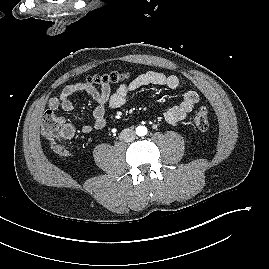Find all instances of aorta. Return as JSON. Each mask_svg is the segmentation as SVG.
I'll return each instance as SVG.
<instances>
[{
    "mask_svg": "<svg viewBox=\"0 0 269 269\" xmlns=\"http://www.w3.org/2000/svg\"><path fill=\"white\" fill-rule=\"evenodd\" d=\"M136 134L138 136H145L147 134V128L145 126H138L136 128Z\"/></svg>",
    "mask_w": 269,
    "mask_h": 269,
    "instance_id": "1",
    "label": "aorta"
}]
</instances>
